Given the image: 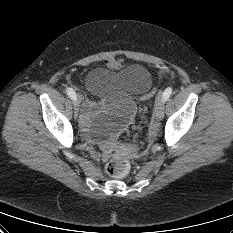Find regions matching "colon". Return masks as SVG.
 <instances>
[{
    "label": "colon",
    "instance_id": "colon-1",
    "mask_svg": "<svg viewBox=\"0 0 233 233\" xmlns=\"http://www.w3.org/2000/svg\"><path fill=\"white\" fill-rule=\"evenodd\" d=\"M168 69H162L161 73H168ZM155 94V90H152L148 93H146L142 99L144 101L150 100ZM138 152V146L137 145H120L118 147V153L120 155L114 157L111 159L107 165H106V171L107 173L114 178H122L126 176L130 170V163L126 158H124L125 154H134Z\"/></svg>",
    "mask_w": 233,
    "mask_h": 233
}]
</instances>
